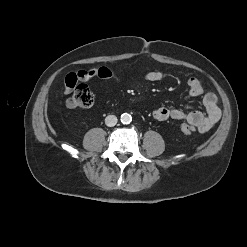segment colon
Listing matches in <instances>:
<instances>
[{"instance_id":"1","label":"colon","mask_w":247,"mask_h":247,"mask_svg":"<svg viewBox=\"0 0 247 247\" xmlns=\"http://www.w3.org/2000/svg\"><path fill=\"white\" fill-rule=\"evenodd\" d=\"M93 104V95L89 88L84 84L77 85L71 96L67 99V106L70 108H88ZM195 127L188 123L180 125V131L189 135L194 131Z\"/></svg>"}]
</instances>
